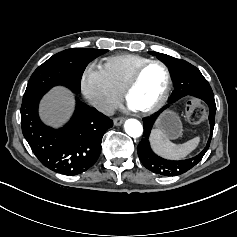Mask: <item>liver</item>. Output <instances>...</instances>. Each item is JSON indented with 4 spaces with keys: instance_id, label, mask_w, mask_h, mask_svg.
<instances>
[{
    "instance_id": "6515ba94",
    "label": "liver",
    "mask_w": 237,
    "mask_h": 237,
    "mask_svg": "<svg viewBox=\"0 0 237 237\" xmlns=\"http://www.w3.org/2000/svg\"><path fill=\"white\" fill-rule=\"evenodd\" d=\"M71 107V97L67 92L55 90L43 102L42 111L49 121H61Z\"/></svg>"
}]
</instances>
